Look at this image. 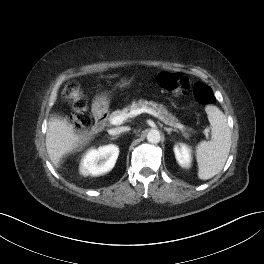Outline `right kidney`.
<instances>
[{
  "label": "right kidney",
  "instance_id": "1",
  "mask_svg": "<svg viewBox=\"0 0 264 264\" xmlns=\"http://www.w3.org/2000/svg\"><path fill=\"white\" fill-rule=\"evenodd\" d=\"M119 155V148L114 144L89 150L80 163V173L84 176H97L114 167Z\"/></svg>",
  "mask_w": 264,
  "mask_h": 264
}]
</instances>
